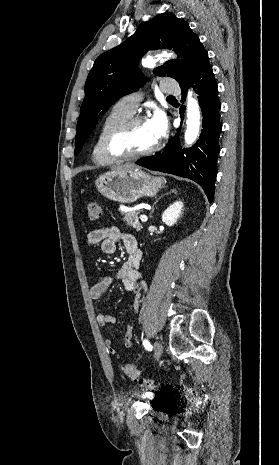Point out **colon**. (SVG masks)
I'll return each instance as SVG.
<instances>
[{"label":"colon","instance_id":"5ec220e1","mask_svg":"<svg viewBox=\"0 0 279 465\" xmlns=\"http://www.w3.org/2000/svg\"><path fill=\"white\" fill-rule=\"evenodd\" d=\"M88 216L92 221H96L101 216V207L96 202H91L88 204ZM122 370L124 374L130 378L132 381L138 382L143 385H151V380L145 378L141 375V372L136 368V366L130 362H126L122 365Z\"/></svg>","mask_w":279,"mask_h":465}]
</instances>
